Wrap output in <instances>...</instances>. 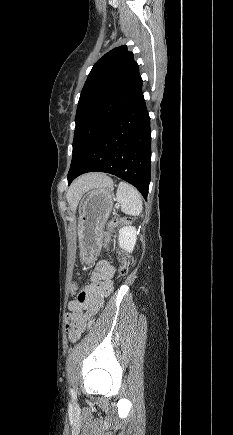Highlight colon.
<instances>
[{
    "instance_id": "obj_1",
    "label": "colon",
    "mask_w": 233,
    "mask_h": 435,
    "mask_svg": "<svg viewBox=\"0 0 233 435\" xmlns=\"http://www.w3.org/2000/svg\"><path fill=\"white\" fill-rule=\"evenodd\" d=\"M130 223V219L128 217H113L107 223V231L105 235V243L108 245L114 230L118 227L128 225ZM132 262V258L128 255H124L120 259V267H119V275L125 276L128 272V267ZM90 323L94 322V319L91 318ZM68 330L70 331L69 327Z\"/></svg>"
}]
</instances>
